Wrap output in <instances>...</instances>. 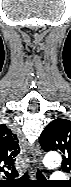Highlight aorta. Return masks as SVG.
<instances>
[{
    "label": "aorta",
    "instance_id": "aorta-1",
    "mask_svg": "<svg viewBox=\"0 0 71 187\" xmlns=\"http://www.w3.org/2000/svg\"><path fill=\"white\" fill-rule=\"evenodd\" d=\"M61 156L57 152H50L44 158V164L47 167H55L60 165Z\"/></svg>",
    "mask_w": 71,
    "mask_h": 187
}]
</instances>
